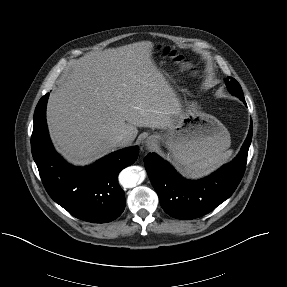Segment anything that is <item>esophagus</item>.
<instances>
[{"mask_svg":"<svg viewBox=\"0 0 287 287\" xmlns=\"http://www.w3.org/2000/svg\"><path fill=\"white\" fill-rule=\"evenodd\" d=\"M153 145H154L153 139L148 138V139L145 141V146H146L147 149L151 148Z\"/></svg>","mask_w":287,"mask_h":287,"instance_id":"esophagus-1","label":"esophagus"}]
</instances>
